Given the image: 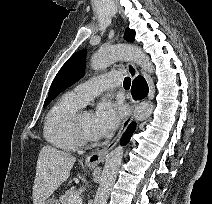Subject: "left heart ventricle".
Segmentation results:
<instances>
[{"mask_svg":"<svg viewBox=\"0 0 212 204\" xmlns=\"http://www.w3.org/2000/svg\"><path fill=\"white\" fill-rule=\"evenodd\" d=\"M81 127L84 133L89 137L94 139L92 135V125H93V114L90 112H83L80 117Z\"/></svg>","mask_w":212,"mask_h":204,"instance_id":"left-heart-ventricle-1","label":"left heart ventricle"}]
</instances>
